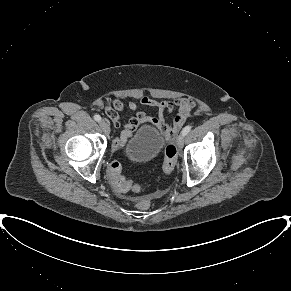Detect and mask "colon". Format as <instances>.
<instances>
[{"label":"colon","mask_w":291,"mask_h":291,"mask_svg":"<svg viewBox=\"0 0 291 291\" xmlns=\"http://www.w3.org/2000/svg\"><path fill=\"white\" fill-rule=\"evenodd\" d=\"M176 163L177 149L173 144H169L164 151L163 172L165 174L172 173L176 167ZM109 179L113 188L119 194H126L139 189L132 181L125 178L122 172V166L117 161H113L109 166ZM151 205V200L148 198H141L136 202V207L142 211L148 210Z\"/></svg>","instance_id":"colon-1"}]
</instances>
